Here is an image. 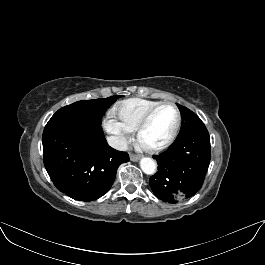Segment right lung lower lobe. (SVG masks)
Segmentation results:
<instances>
[{
	"label": "right lung lower lobe",
	"instance_id": "1",
	"mask_svg": "<svg viewBox=\"0 0 265 265\" xmlns=\"http://www.w3.org/2000/svg\"><path fill=\"white\" fill-rule=\"evenodd\" d=\"M45 168L56 188L67 196L92 201L112 186L126 152L107 144L100 123L80 118H51L43 136Z\"/></svg>",
	"mask_w": 265,
	"mask_h": 265
}]
</instances>
